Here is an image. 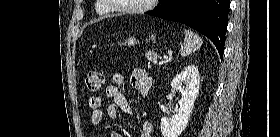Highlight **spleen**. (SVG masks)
Instances as JSON below:
<instances>
[{
    "instance_id": "spleen-1",
    "label": "spleen",
    "mask_w": 280,
    "mask_h": 137,
    "mask_svg": "<svg viewBox=\"0 0 280 137\" xmlns=\"http://www.w3.org/2000/svg\"><path fill=\"white\" fill-rule=\"evenodd\" d=\"M184 43L181 46L180 54L185 57L192 54L195 50H197L202 45V39L195 33L190 30H184Z\"/></svg>"
}]
</instances>
